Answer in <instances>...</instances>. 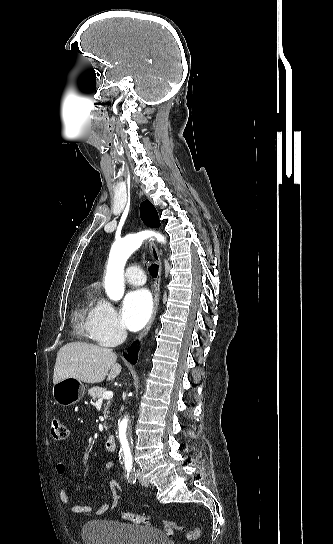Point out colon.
Returning <instances> with one entry per match:
<instances>
[{
  "label": "colon",
  "mask_w": 333,
  "mask_h": 544,
  "mask_svg": "<svg viewBox=\"0 0 333 544\" xmlns=\"http://www.w3.org/2000/svg\"><path fill=\"white\" fill-rule=\"evenodd\" d=\"M51 433L54 439L63 441L69 437L67 426L58 418H54L51 422ZM121 517L129 522L139 525H150L151 519L147 516L135 514L130 511H121ZM162 527L168 535H173L176 532L184 530L183 526L176 521H163ZM200 536V529L195 527L186 533V538L189 541H194Z\"/></svg>",
  "instance_id": "obj_1"
}]
</instances>
